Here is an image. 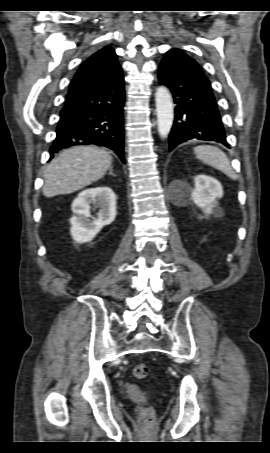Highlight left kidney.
<instances>
[{"label":"left kidney","mask_w":270,"mask_h":453,"mask_svg":"<svg viewBox=\"0 0 270 453\" xmlns=\"http://www.w3.org/2000/svg\"><path fill=\"white\" fill-rule=\"evenodd\" d=\"M194 189L190 191L186 187L180 186L178 191L185 199L192 200L206 215L214 214L222 217L223 209L218 207L217 199L223 197V188L218 180L207 175H197L194 178Z\"/></svg>","instance_id":"5707ae66"}]
</instances>
